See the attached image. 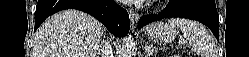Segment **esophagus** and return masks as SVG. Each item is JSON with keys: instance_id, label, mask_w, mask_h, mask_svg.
I'll list each match as a JSON object with an SVG mask.
<instances>
[{"instance_id": "34e87169", "label": "esophagus", "mask_w": 249, "mask_h": 57, "mask_svg": "<svg viewBox=\"0 0 249 57\" xmlns=\"http://www.w3.org/2000/svg\"><path fill=\"white\" fill-rule=\"evenodd\" d=\"M129 17H130V21H131V25L134 26L135 23L139 20V14L130 10L129 11Z\"/></svg>"}]
</instances>
